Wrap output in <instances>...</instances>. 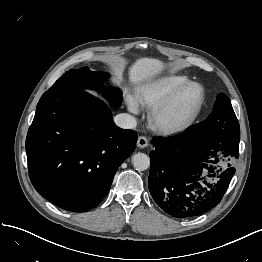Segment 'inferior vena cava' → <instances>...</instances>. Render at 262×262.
Returning <instances> with one entry per match:
<instances>
[{
    "label": "inferior vena cava",
    "mask_w": 262,
    "mask_h": 262,
    "mask_svg": "<svg viewBox=\"0 0 262 262\" xmlns=\"http://www.w3.org/2000/svg\"><path fill=\"white\" fill-rule=\"evenodd\" d=\"M115 124L123 129H133L137 125L136 118L130 114L122 113L114 117Z\"/></svg>",
    "instance_id": "inferior-vena-cava-1"
}]
</instances>
